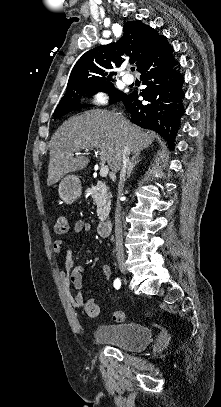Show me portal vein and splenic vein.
<instances>
[{
  "mask_svg": "<svg viewBox=\"0 0 221 407\" xmlns=\"http://www.w3.org/2000/svg\"><path fill=\"white\" fill-rule=\"evenodd\" d=\"M84 151L86 153H88L90 151V149L86 148ZM108 173H109V167L107 165H102L101 168H100V176L102 178H104V177H106L108 175Z\"/></svg>",
  "mask_w": 221,
  "mask_h": 407,
  "instance_id": "portal-vein-and-splenic-vein-1",
  "label": "portal vein and splenic vein"
}]
</instances>
